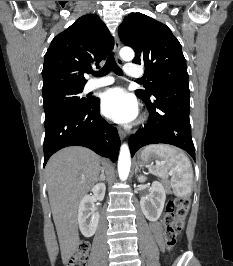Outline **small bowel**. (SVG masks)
Segmentation results:
<instances>
[{"mask_svg": "<svg viewBox=\"0 0 233 266\" xmlns=\"http://www.w3.org/2000/svg\"><path fill=\"white\" fill-rule=\"evenodd\" d=\"M151 229L156 241L161 245L163 242V228L160 222H153Z\"/></svg>", "mask_w": 233, "mask_h": 266, "instance_id": "c3829d8e", "label": "small bowel"}]
</instances>
